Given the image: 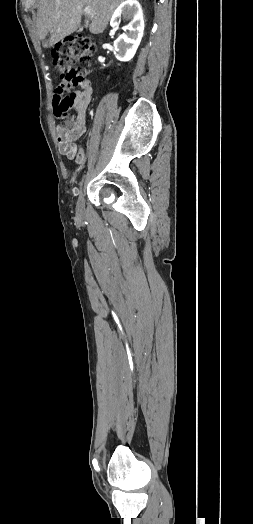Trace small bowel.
Listing matches in <instances>:
<instances>
[{
    "label": "small bowel",
    "instance_id": "small-bowel-1",
    "mask_svg": "<svg viewBox=\"0 0 253 524\" xmlns=\"http://www.w3.org/2000/svg\"><path fill=\"white\" fill-rule=\"evenodd\" d=\"M92 94L85 97L74 93L76 127L72 131L66 133L60 126H57L56 128L60 152L71 159L75 164H81L85 158L84 149L78 148L75 141L82 136L86 130V114L92 99ZM61 97V86L59 85L54 91V104H56Z\"/></svg>",
    "mask_w": 253,
    "mask_h": 524
}]
</instances>
